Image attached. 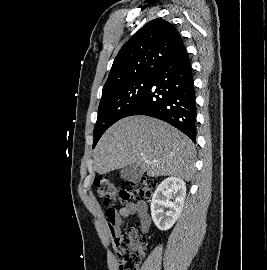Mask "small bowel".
Returning a JSON list of instances; mask_svg holds the SVG:
<instances>
[{"label": "small bowel", "mask_w": 267, "mask_h": 270, "mask_svg": "<svg viewBox=\"0 0 267 270\" xmlns=\"http://www.w3.org/2000/svg\"><path fill=\"white\" fill-rule=\"evenodd\" d=\"M131 215H136L138 217L144 232L148 231L150 217L147 205L144 202H129L113 213L106 211L107 227L113 237L119 232L122 219Z\"/></svg>", "instance_id": "obj_1"}]
</instances>
